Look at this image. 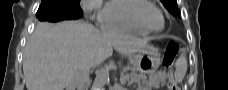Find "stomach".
<instances>
[{
	"instance_id": "0dacf381",
	"label": "stomach",
	"mask_w": 228,
	"mask_h": 90,
	"mask_svg": "<svg viewBox=\"0 0 228 90\" xmlns=\"http://www.w3.org/2000/svg\"><path fill=\"white\" fill-rule=\"evenodd\" d=\"M133 67L142 74H150L160 65L158 49L152 45H146L137 54L130 58Z\"/></svg>"
}]
</instances>
